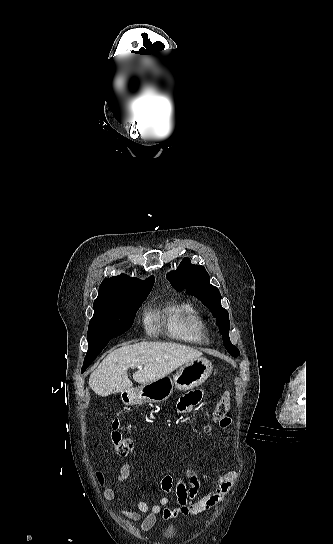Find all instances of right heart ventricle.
Wrapping results in <instances>:
<instances>
[{"instance_id": "e07e8e85", "label": "right heart ventricle", "mask_w": 333, "mask_h": 544, "mask_svg": "<svg viewBox=\"0 0 333 544\" xmlns=\"http://www.w3.org/2000/svg\"><path fill=\"white\" fill-rule=\"evenodd\" d=\"M166 320L168 331L174 338L191 343L206 340L205 320L192 304L182 303L167 308Z\"/></svg>"}]
</instances>
